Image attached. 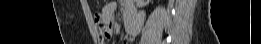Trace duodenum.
I'll use <instances>...</instances> for the list:
<instances>
[{
    "label": "duodenum",
    "mask_w": 261,
    "mask_h": 44,
    "mask_svg": "<svg viewBox=\"0 0 261 44\" xmlns=\"http://www.w3.org/2000/svg\"><path fill=\"white\" fill-rule=\"evenodd\" d=\"M124 22H125V29L127 33L131 32V28L133 26V20L130 17H126L124 18Z\"/></svg>",
    "instance_id": "410a0bca"
}]
</instances>
